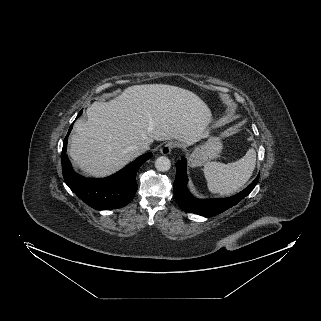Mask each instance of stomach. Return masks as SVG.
<instances>
[{"label":"stomach","mask_w":321,"mask_h":321,"mask_svg":"<svg viewBox=\"0 0 321 321\" xmlns=\"http://www.w3.org/2000/svg\"><path fill=\"white\" fill-rule=\"evenodd\" d=\"M223 149V144L218 137H211L206 142L196 146L189 156L192 167L201 166L204 163L217 158Z\"/></svg>","instance_id":"1"}]
</instances>
